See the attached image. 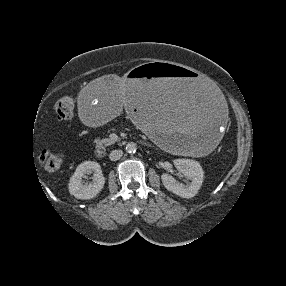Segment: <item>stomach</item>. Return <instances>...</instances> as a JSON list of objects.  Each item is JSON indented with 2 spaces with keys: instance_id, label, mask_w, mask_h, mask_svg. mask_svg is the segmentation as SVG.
Listing matches in <instances>:
<instances>
[{
  "instance_id": "obj_1",
  "label": "stomach",
  "mask_w": 286,
  "mask_h": 286,
  "mask_svg": "<svg viewBox=\"0 0 286 286\" xmlns=\"http://www.w3.org/2000/svg\"><path fill=\"white\" fill-rule=\"evenodd\" d=\"M82 115L96 125L128 116L163 150L204 153L220 141L227 115L222 91L198 73L171 62L134 70L125 83L103 75L79 93Z\"/></svg>"
}]
</instances>
